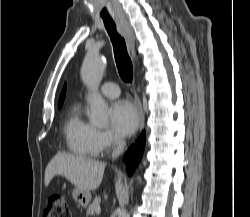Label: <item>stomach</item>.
Masks as SVG:
<instances>
[{
    "instance_id": "0dacf381",
    "label": "stomach",
    "mask_w": 250,
    "mask_h": 217,
    "mask_svg": "<svg viewBox=\"0 0 250 217\" xmlns=\"http://www.w3.org/2000/svg\"><path fill=\"white\" fill-rule=\"evenodd\" d=\"M73 198L75 202L82 208H86L91 201V192L88 190H78L73 191Z\"/></svg>"
}]
</instances>
